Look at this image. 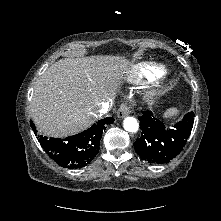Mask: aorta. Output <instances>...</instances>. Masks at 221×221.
I'll use <instances>...</instances> for the list:
<instances>
[{
	"label": "aorta",
	"mask_w": 221,
	"mask_h": 221,
	"mask_svg": "<svg viewBox=\"0 0 221 221\" xmlns=\"http://www.w3.org/2000/svg\"><path fill=\"white\" fill-rule=\"evenodd\" d=\"M123 127L126 131L136 133L139 128V124L134 117H126L123 121Z\"/></svg>",
	"instance_id": "obj_1"
}]
</instances>
